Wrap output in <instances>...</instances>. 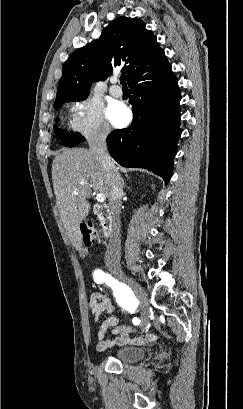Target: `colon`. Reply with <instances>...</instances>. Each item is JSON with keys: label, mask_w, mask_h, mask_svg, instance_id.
<instances>
[{"label": "colon", "mask_w": 243, "mask_h": 409, "mask_svg": "<svg viewBox=\"0 0 243 409\" xmlns=\"http://www.w3.org/2000/svg\"><path fill=\"white\" fill-rule=\"evenodd\" d=\"M81 233L83 235L84 243L87 246H90L98 241L97 233L92 225L83 224L81 226ZM81 253L83 254V250Z\"/></svg>", "instance_id": "obj_1"}]
</instances>
